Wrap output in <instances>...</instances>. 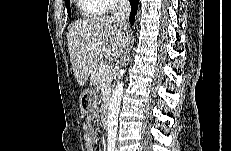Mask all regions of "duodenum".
<instances>
[{
    "label": "duodenum",
    "mask_w": 231,
    "mask_h": 151,
    "mask_svg": "<svg viewBox=\"0 0 231 151\" xmlns=\"http://www.w3.org/2000/svg\"><path fill=\"white\" fill-rule=\"evenodd\" d=\"M109 107H110V97L106 96L104 99L103 108H102V124L104 126L107 125Z\"/></svg>",
    "instance_id": "410a0bca"
}]
</instances>
